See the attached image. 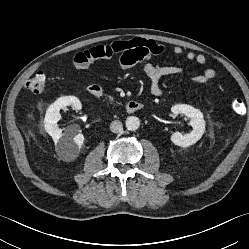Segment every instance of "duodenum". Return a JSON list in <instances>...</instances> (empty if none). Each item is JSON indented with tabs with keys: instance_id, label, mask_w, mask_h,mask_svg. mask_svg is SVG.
<instances>
[{
	"instance_id": "1",
	"label": "duodenum",
	"mask_w": 249,
	"mask_h": 249,
	"mask_svg": "<svg viewBox=\"0 0 249 249\" xmlns=\"http://www.w3.org/2000/svg\"><path fill=\"white\" fill-rule=\"evenodd\" d=\"M88 93L95 98H101L104 95L103 89L95 85H91L88 87ZM144 107H145L144 103L140 101H128L126 103V111L128 113H135L142 111Z\"/></svg>"
}]
</instances>
